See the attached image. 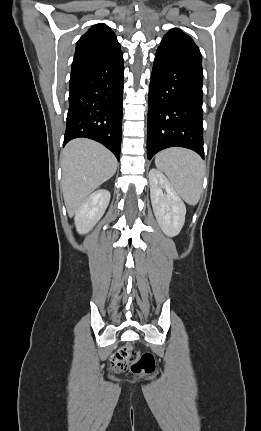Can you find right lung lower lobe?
Segmentation results:
<instances>
[{
  "label": "right lung lower lobe",
  "instance_id": "1",
  "mask_svg": "<svg viewBox=\"0 0 261 431\" xmlns=\"http://www.w3.org/2000/svg\"><path fill=\"white\" fill-rule=\"evenodd\" d=\"M123 53L74 56L64 145L78 137L100 142L120 158Z\"/></svg>",
  "mask_w": 261,
  "mask_h": 431
}]
</instances>
